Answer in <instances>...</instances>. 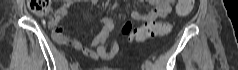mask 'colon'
<instances>
[{"label": "colon", "instance_id": "5ec220e1", "mask_svg": "<svg viewBox=\"0 0 238 70\" xmlns=\"http://www.w3.org/2000/svg\"><path fill=\"white\" fill-rule=\"evenodd\" d=\"M194 0H177L176 12L181 16H186L194 5ZM29 9L37 16L44 17L51 13L50 0H29ZM168 30L167 25H163L162 21L156 19H145V24L134 30L129 37L130 41L140 42L147 38L162 35Z\"/></svg>", "mask_w": 238, "mask_h": 70}]
</instances>
